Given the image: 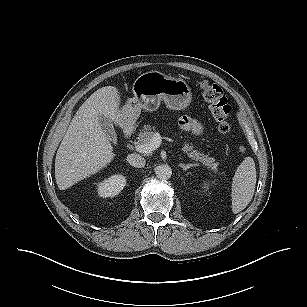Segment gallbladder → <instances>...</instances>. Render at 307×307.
<instances>
[{
	"instance_id": "bac80fb5",
	"label": "gallbladder",
	"mask_w": 307,
	"mask_h": 307,
	"mask_svg": "<svg viewBox=\"0 0 307 307\" xmlns=\"http://www.w3.org/2000/svg\"><path fill=\"white\" fill-rule=\"evenodd\" d=\"M98 120H99V124H100L101 128L103 129V131L105 132V134L109 137V139L111 141L116 143L117 142V135H116L114 127H113L111 121L109 120V118L105 117L104 115H99Z\"/></svg>"
}]
</instances>
